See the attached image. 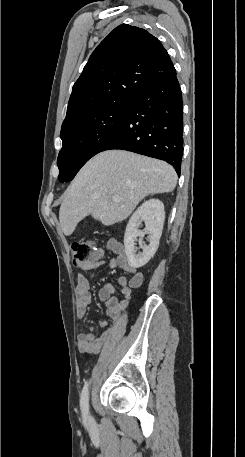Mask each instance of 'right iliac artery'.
I'll return each mask as SVG.
<instances>
[{
	"instance_id": "obj_1",
	"label": "right iliac artery",
	"mask_w": 245,
	"mask_h": 457,
	"mask_svg": "<svg viewBox=\"0 0 245 457\" xmlns=\"http://www.w3.org/2000/svg\"><path fill=\"white\" fill-rule=\"evenodd\" d=\"M80 406L83 415H87L89 411V391H88V383H85L80 399Z\"/></svg>"
}]
</instances>
